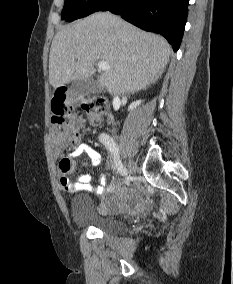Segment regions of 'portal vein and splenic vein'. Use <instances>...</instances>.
<instances>
[{"label":"portal vein and splenic vein","mask_w":233,"mask_h":284,"mask_svg":"<svg viewBox=\"0 0 233 284\" xmlns=\"http://www.w3.org/2000/svg\"><path fill=\"white\" fill-rule=\"evenodd\" d=\"M98 68L102 71H108L110 66L106 61L101 60L98 62Z\"/></svg>","instance_id":"portal-vein-and-splenic-vein-1"}]
</instances>
